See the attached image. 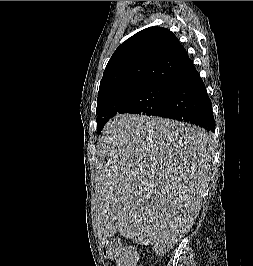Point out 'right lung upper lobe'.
Returning a JSON list of instances; mask_svg holds the SVG:
<instances>
[{
	"label": "right lung upper lobe",
	"mask_w": 253,
	"mask_h": 266,
	"mask_svg": "<svg viewBox=\"0 0 253 266\" xmlns=\"http://www.w3.org/2000/svg\"><path fill=\"white\" fill-rule=\"evenodd\" d=\"M193 66L172 32L162 27L146 28L121 44L110 58L97 104L151 83H171Z\"/></svg>",
	"instance_id": "right-lung-upper-lobe-1"
}]
</instances>
